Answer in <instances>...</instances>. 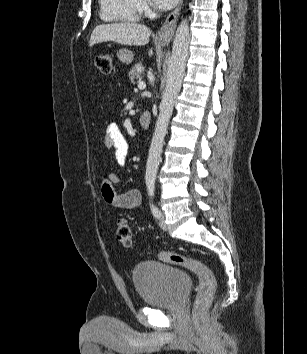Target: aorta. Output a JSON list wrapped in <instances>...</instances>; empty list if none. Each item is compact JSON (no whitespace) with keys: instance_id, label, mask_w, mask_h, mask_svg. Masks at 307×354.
<instances>
[{"instance_id":"1","label":"aorta","mask_w":307,"mask_h":354,"mask_svg":"<svg viewBox=\"0 0 307 354\" xmlns=\"http://www.w3.org/2000/svg\"><path fill=\"white\" fill-rule=\"evenodd\" d=\"M189 39V25L187 19H185L176 30L172 55L168 62L166 88L162 95L160 113L156 122L146 164L145 183L147 186L155 184L164 138L185 73Z\"/></svg>"}]
</instances>
